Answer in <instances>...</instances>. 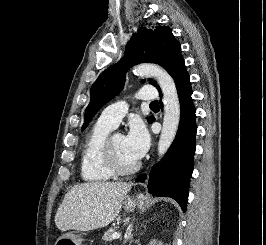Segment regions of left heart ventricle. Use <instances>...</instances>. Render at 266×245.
<instances>
[{
	"label": "left heart ventricle",
	"mask_w": 266,
	"mask_h": 245,
	"mask_svg": "<svg viewBox=\"0 0 266 245\" xmlns=\"http://www.w3.org/2000/svg\"><path fill=\"white\" fill-rule=\"evenodd\" d=\"M112 149L117 164L123 168L128 169L132 167L136 161H134L127 153L124 147V138L120 134H115L112 138Z\"/></svg>",
	"instance_id": "1"
}]
</instances>
